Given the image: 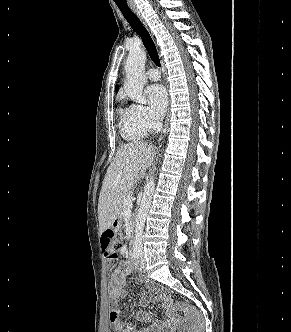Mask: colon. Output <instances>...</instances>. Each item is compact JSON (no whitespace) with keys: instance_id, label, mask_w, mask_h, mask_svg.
Here are the masks:
<instances>
[{"instance_id":"5ec220e1","label":"colon","mask_w":291,"mask_h":332,"mask_svg":"<svg viewBox=\"0 0 291 332\" xmlns=\"http://www.w3.org/2000/svg\"><path fill=\"white\" fill-rule=\"evenodd\" d=\"M101 245L105 258L114 260L118 256V250L120 243L113 230H106L101 236ZM167 306L170 310L175 311L180 309L187 317V329L186 332H202L203 319L201 313L193 306L186 303L173 304L171 300L167 302ZM117 312H111V319L116 320Z\"/></svg>"}]
</instances>
